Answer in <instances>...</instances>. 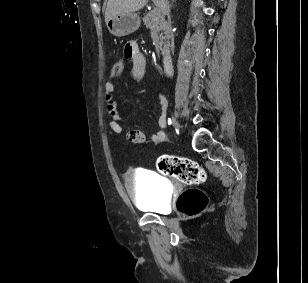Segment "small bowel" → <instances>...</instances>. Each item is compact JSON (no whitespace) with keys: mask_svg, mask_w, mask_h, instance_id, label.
<instances>
[{"mask_svg":"<svg viewBox=\"0 0 308 283\" xmlns=\"http://www.w3.org/2000/svg\"><path fill=\"white\" fill-rule=\"evenodd\" d=\"M124 56L132 62L131 76L134 80H141L146 74V59L140 52L138 44L134 41L128 42L123 50ZM105 101L107 104L108 114L110 116L109 127L117 134L122 133L123 126V114L118 107V103L115 99L116 85L113 80H109L105 83ZM161 115L159 118V125L163 128L166 125V108L167 101L164 97H160ZM152 142L155 145H159L165 141V133L160 130L150 135ZM127 139L132 143H144L146 141V134L142 130L133 129L128 131Z\"/></svg>","mask_w":308,"mask_h":283,"instance_id":"1","label":"small bowel"}]
</instances>
